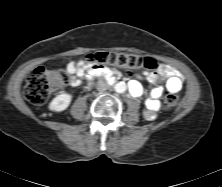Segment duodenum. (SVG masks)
<instances>
[{"label":"duodenum","mask_w":222,"mask_h":187,"mask_svg":"<svg viewBox=\"0 0 222 187\" xmlns=\"http://www.w3.org/2000/svg\"><path fill=\"white\" fill-rule=\"evenodd\" d=\"M99 75H105L107 80L110 81V82H114L117 80V77L113 74H109L106 70H94L92 72L89 73V77L90 78H93V77H96V76H99Z\"/></svg>","instance_id":"obj_1"}]
</instances>
